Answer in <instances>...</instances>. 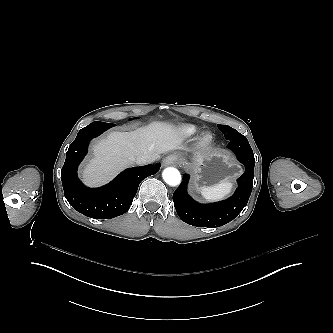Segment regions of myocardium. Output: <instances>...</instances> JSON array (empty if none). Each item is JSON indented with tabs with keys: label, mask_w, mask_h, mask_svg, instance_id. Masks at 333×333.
Wrapping results in <instances>:
<instances>
[{
	"label": "myocardium",
	"mask_w": 333,
	"mask_h": 333,
	"mask_svg": "<svg viewBox=\"0 0 333 333\" xmlns=\"http://www.w3.org/2000/svg\"><path fill=\"white\" fill-rule=\"evenodd\" d=\"M212 140H213L212 134L210 132H206L200 137L198 145L200 147H207L212 143Z\"/></svg>",
	"instance_id": "obj_1"
}]
</instances>
